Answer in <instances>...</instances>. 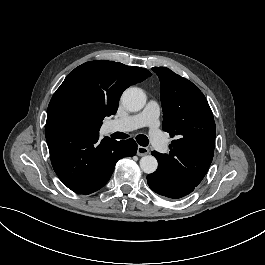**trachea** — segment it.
Segmentation results:
<instances>
[{"instance_id": "obj_1", "label": "trachea", "mask_w": 265, "mask_h": 265, "mask_svg": "<svg viewBox=\"0 0 265 265\" xmlns=\"http://www.w3.org/2000/svg\"><path fill=\"white\" fill-rule=\"evenodd\" d=\"M136 140H137L138 144L143 146V147L148 146V144H149V140L145 135H138L136 137Z\"/></svg>"}]
</instances>
